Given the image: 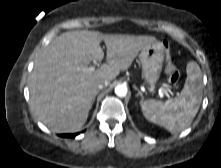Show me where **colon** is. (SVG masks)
<instances>
[{
	"label": "colon",
	"instance_id": "obj_1",
	"mask_svg": "<svg viewBox=\"0 0 221 168\" xmlns=\"http://www.w3.org/2000/svg\"><path fill=\"white\" fill-rule=\"evenodd\" d=\"M166 60H165V73L167 75L168 81L171 85H176L179 80V71L177 67L173 64L170 48L168 44H166Z\"/></svg>",
	"mask_w": 221,
	"mask_h": 168
}]
</instances>
